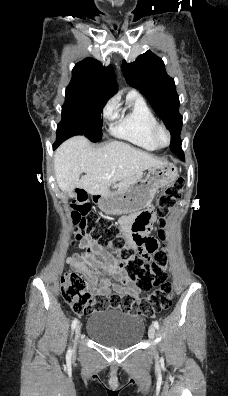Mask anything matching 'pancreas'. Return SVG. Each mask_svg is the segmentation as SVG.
Segmentation results:
<instances>
[{
	"label": "pancreas",
	"mask_w": 228,
	"mask_h": 396,
	"mask_svg": "<svg viewBox=\"0 0 228 396\" xmlns=\"http://www.w3.org/2000/svg\"><path fill=\"white\" fill-rule=\"evenodd\" d=\"M141 179V175L137 174L131 178L123 179L119 183L114 185V188H118V190H125L130 187L132 184L137 183Z\"/></svg>",
	"instance_id": "cf45deb5"
}]
</instances>
